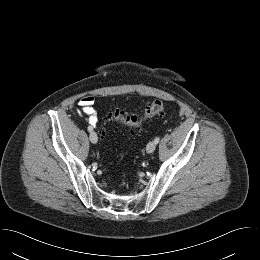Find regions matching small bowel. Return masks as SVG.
Here are the masks:
<instances>
[{
  "mask_svg": "<svg viewBox=\"0 0 260 260\" xmlns=\"http://www.w3.org/2000/svg\"><path fill=\"white\" fill-rule=\"evenodd\" d=\"M94 105L95 99L92 96H84L78 101L77 112L79 115L87 117L91 127L96 126L98 122Z\"/></svg>",
  "mask_w": 260,
  "mask_h": 260,
  "instance_id": "small-bowel-1",
  "label": "small bowel"
}]
</instances>
